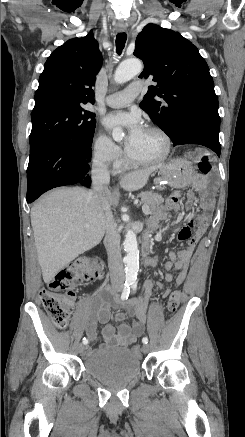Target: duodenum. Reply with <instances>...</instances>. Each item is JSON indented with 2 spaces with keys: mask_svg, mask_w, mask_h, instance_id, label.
Masks as SVG:
<instances>
[{
  "mask_svg": "<svg viewBox=\"0 0 245 437\" xmlns=\"http://www.w3.org/2000/svg\"><path fill=\"white\" fill-rule=\"evenodd\" d=\"M149 237L146 236L142 245V256L144 258V266L149 267L152 265L151 257H149Z\"/></svg>",
  "mask_w": 245,
  "mask_h": 437,
  "instance_id": "duodenum-1",
  "label": "duodenum"
}]
</instances>
